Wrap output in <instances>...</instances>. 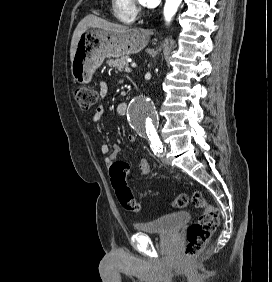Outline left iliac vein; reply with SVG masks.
<instances>
[{
	"label": "left iliac vein",
	"instance_id": "1",
	"mask_svg": "<svg viewBox=\"0 0 272 282\" xmlns=\"http://www.w3.org/2000/svg\"><path fill=\"white\" fill-rule=\"evenodd\" d=\"M166 149L163 151V155H162V162L167 165L168 164V159L165 157L166 154Z\"/></svg>",
	"mask_w": 272,
	"mask_h": 282
}]
</instances>
